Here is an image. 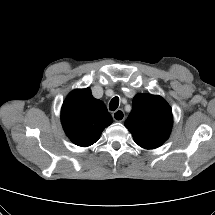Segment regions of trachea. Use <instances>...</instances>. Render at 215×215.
<instances>
[{"label":"trachea","mask_w":215,"mask_h":215,"mask_svg":"<svg viewBox=\"0 0 215 215\" xmlns=\"http://www.w3.org/2000/svg\"><path fill=\"white\" fill-rule=\"evenodd\" d=\"M118 105H119V98L114 97L109 103V109L111 111H115L117 109Z\"/></svg>","instance_id":"1"}]
</instances>
